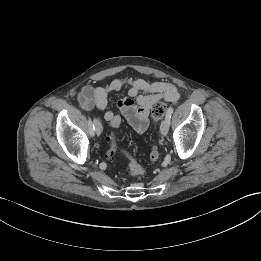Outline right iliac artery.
<instances>
[{
	"mask_svg": "<svg viewBox=\"0 0 261 261\" xmlns=\"http://www.w3.org/2000/svg\"><path fill=\"white\" fill-rule=\"evenodd\" d=\"M88 124H89V133L91 136L94 135V130H95V120L92 121L91 118L88 119Z\"/></svg>",
	"mask_w": 261,
	"mask_h": 261,
	"instance_id": "82829eb1",
	"label": "right iliac artery"
}]
</instances>
